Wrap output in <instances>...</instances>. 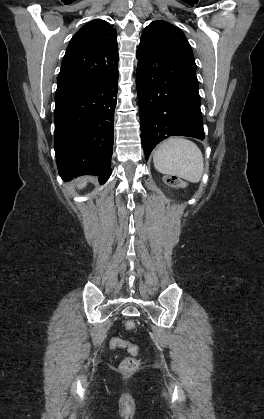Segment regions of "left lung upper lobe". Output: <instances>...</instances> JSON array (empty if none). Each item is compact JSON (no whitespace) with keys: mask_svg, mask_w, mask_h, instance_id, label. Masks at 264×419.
Returning a JSON list of instances; mask_svg holds the SVG:
<instances>
[{"mask_svg":"<svg viewBox=\"0 0 264 419\" xmlns=\"http://www.w3.org/2000/svg\"><path fill=\"white\" fill-rule=\"evenodd\" d=\"M153 41L166 43L165 64L168 67L175 70L180 66L185 76L196 78L192 49L179 28L165 21H154L144 29L138 48Z\"/></svg>","mask_w":264,"mask_h":419,"instance_id":"left-lung-upper-lobe-1","label":"left lung upper lobe"}]
</instances>
